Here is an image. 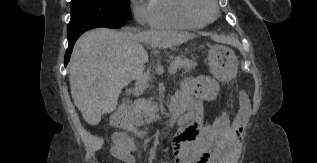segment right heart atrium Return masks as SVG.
I'll return each mask as SVG.
<instances>
[{
    "instance_id": "obj_1",
    "label": "right heart atrium",
    "mask_w": 317,
    "mask_h": 163,
    "mask_svg": "<svg viewBox=\"0 0 317 163\" xmlns=\"http://www.w3.org/2000/svg\"><path fill=\"white\" fill-rule=\"evenodd\" d=\"M129 6L138 24L142 26L151 24L153 13L151 0H129Z\"/></svg>"
}]
</instances>
